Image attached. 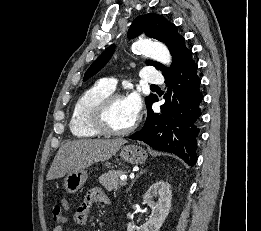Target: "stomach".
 <instances>
[{"label":"stomach","instance_id":"0dacf381","mask_svg":"<svg viewBox=\"0 0 261 231\" xmlns=\"http://www.w3.org/2000/svg\"><path fill=\"white\" fill-rule=\"evenodd\" d=\"M121 158L129 164H141L147 158L146 151L137 145H126L120 149ZM88 178L84 169L67 174L64 179V188L67 193H75L80 190Z\"/></svg>","mask_w":261,"mask_h":231}]
</instances>
